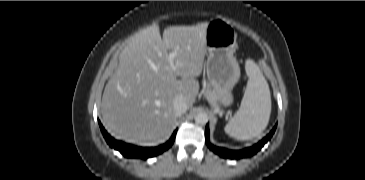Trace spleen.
<instances>
[{"mask_svg": "<svg viewBox=\"0 0 365 180\" xmlns=\"http://www.w3.org/2000/svg\"><path fill=\"white\" fill-rule=\"evenodd\" d=\"M245 70L249 79L240 108L224 128L229 136L238 140L259 136L267 127L271 114L270 89L259 66L247 59Z\"/></svg>", "mask_w": 365, "mask_h": 180, "instance_id": "obj_1", "label": "spleen"}]
</instances>
